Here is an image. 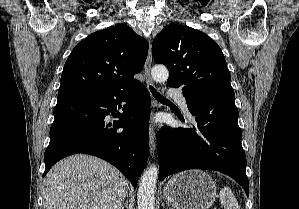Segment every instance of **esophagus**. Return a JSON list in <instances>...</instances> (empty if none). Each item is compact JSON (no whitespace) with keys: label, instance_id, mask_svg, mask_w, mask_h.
<instances>
[{"label":"esophagus","instance_id":"1","mask_svg":"<svg viewBox=\"0 0 299 209\" xmlns=\"http://www.w3.org/2000/svg\"><path fill=\"white\" fill-rule=\"evenodd\" d=\"M151 64H152V46H151V41H149V50H148V55L144 66V75L147 83L150 84H152V79L150 75ZM154 108H155V101L152 100V113H151L152 116L154 114ZM149 148H150V154L154 156L156 150V134H155L154 127L152 125L149 128Z\"/></svg>","mask_w":299,"mask_h":209}]
</instances>
